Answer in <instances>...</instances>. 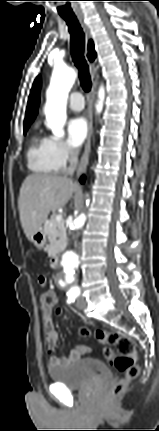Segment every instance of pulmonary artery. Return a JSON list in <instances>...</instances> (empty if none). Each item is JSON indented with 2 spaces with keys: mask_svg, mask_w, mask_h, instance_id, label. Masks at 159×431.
<instances>
[{
  "mask_svg": "<svg viewBox=\"0 0 159 431\" xmlns=\"http://www.w3.org/2000/svg\"><path fill=\"white\" fill-rule=\"evenodd\" d=\"M68 105L73 111H81L84 108V98L80 92H73L69 96Z\"/></svg>",
  "mask_w": 159,
  "mask_h": 431,
  "instance_id": "1",
  "label": "pulmonary artery"
}]
</instances>
